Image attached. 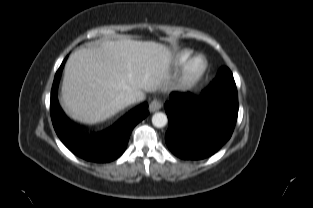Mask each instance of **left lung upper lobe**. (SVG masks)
I'll return each instance as SVG.
<instances>
[{
  "mask_svg": "<svg viewBox=\"0 0 313 208\" xmlns=\"http://www.w3.org/2000/svg\"><path fill=\"white\" fill-rule=\"evenodd\" d=\"M216 79L235 82L231 71L227 67L221 68Z\"/></svg>",
  "mask_w": 313,
  "mask_h": 208,
  "instance_id": "1",
  "label": "left lung upper lobe"
}]
</instances>
